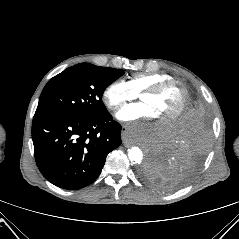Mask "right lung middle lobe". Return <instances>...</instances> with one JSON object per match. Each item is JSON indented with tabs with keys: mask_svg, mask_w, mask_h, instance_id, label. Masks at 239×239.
Wrapping results in <instances>:
<instances>
[{
	"mask_svg": "<svg viewBox=\"0 0 239 239\" xmlns=\"http://www.w3.org/2000/svg\"><path fill=\"white\" fill-rule=\"evenodd\" d=\"M123 75L120 69L80 63L56 75L44 87L34 116L97 117L108 112L102 95Z\"/></svg>",
	"mask_w": 239,
	"mask_h": 239,
	"instance_id": "1",
	"label": "right lung middle lobe"
}]
</instances>
